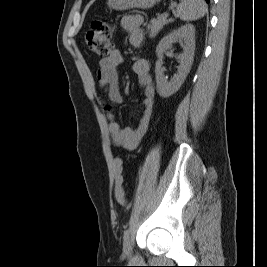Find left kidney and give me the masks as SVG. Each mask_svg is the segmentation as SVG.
<instances>
[{
  "instance_id": "left-kidney-1",
  "label": "left kidney",
  "mask_w": 267,
  "mask_h": 267,
  "mask_svg": "<svg viewBox=\"0 0 267 267\" xmlns=\"http://www.w3.org/2000/svg\"><path fill=\"white\" fill-rule=\"evenodd\" d=\"M176 41H184L185 46L183 53L178 56L180 65L178 66L177 73L168 81L164 76L162 57L164 51L171 48L172 44ZM194 51L195 28L191 24L181 26L161 39L156 47L158 60L155 64L157 92L161 97H170L179 90L191 69Z\"/></svg>"
}]
</instances>
